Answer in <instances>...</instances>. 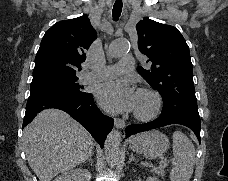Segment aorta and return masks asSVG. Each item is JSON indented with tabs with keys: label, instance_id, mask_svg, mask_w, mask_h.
<instances>
[{
	"label": "aorta",
	"instance_id": "obj_1",
	"mask_svg": "<svg viewBox=\"0 0 228 181\" xmlns=\"http://www.w3.org/2000/svg\"><path fill=\"white\" fill-rule=\"evenodd\" d=\"M129 42L125 39L115 40L110 44L109 54L112 57H120L127 53ZM121 134L117 130H113L107 136L105 142V156L108 164L115 165L119 159L121 148Z\"/></svg>",
	"mask_w": 228,
	"mask_h": 181
}]
</instances>
